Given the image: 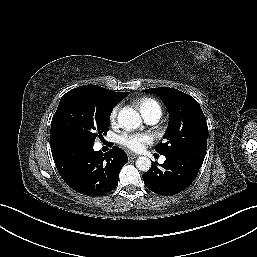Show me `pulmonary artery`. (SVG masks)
Instances as JSON below:
<instances>
[{"instance_id": "1", "label": "pulmonary artery", "mask_w": 257, "mask_h": 257, "mask_svg": "<svg viewBox=\"0 0 257 257\" xmlns=\"http://www.w3.org/2000/svg\"><path fill=\"white\" fill-rule=\"evenodd\" d=\"M159 118H160L159 116L153 115V116H150V117L146 118L145 120L149 124H156L158 122ZM160 161L164 162L165 161V157H161Z\"/></svg>"}]
</instances>
